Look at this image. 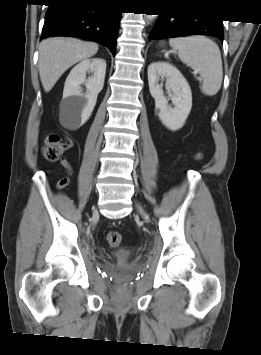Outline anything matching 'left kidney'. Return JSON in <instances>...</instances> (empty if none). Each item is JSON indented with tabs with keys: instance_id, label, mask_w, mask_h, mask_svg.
Returning a JSON list of instances; mask_svg holds the SVG:
<instances>
[{
	"instance_id": "obj_1",
	"label": "left kidney",
	"mask_w": 261,
	"mask_h": 355,
	"mask_svg": "<svg viewBox=\"0 0 261 355\" xmlns=\"http://www.w3.org/2000/svg\"><path fill=\"white\" fill-rule=\"evenodd\" d=\"M160 78H166V86L173 92V108L164 96ZM148 84L162 124L171 131L182 128L192 107L191 89L182 73L170 63L153 62L148 66Z\"/></svg>"
}]
</instances>
